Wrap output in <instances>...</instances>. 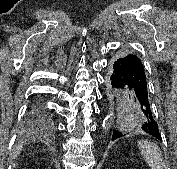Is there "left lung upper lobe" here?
I'll list each match as a JSON object with an SVG mask.
<instances>
[{"mask_svg": "<svg viewBox=\"0 0 177 169\" xmlns=\"http://www.w3.org/2000/svg\"><path fill=\"white\" fill-rule=\"evenodd\" d=\"M125 55H127V53H120V54H118V55L115 57V59L121 58V57H123V56H125Z\"/></svg>", "mask_w": 177, "mask_h": 169, "instance_id": "1", "label": "left lung upper lobe"}]
</instances>
